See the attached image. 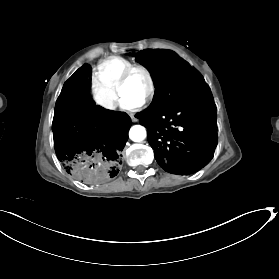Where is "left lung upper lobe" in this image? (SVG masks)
Returning a JSON list of instances; mask_svg holds the SVG:
<instances>
[{"mask_svg":"<svg viewBox=\"0 0 279 279\" xmlns=\"http://www.w3.org/2000/svg\"><path fill=\"white\" fill-rule=\"evenodd\" d=\"M135 55L137 61L150 71L155 95L147 116L156 115L206 86L202 76L175 52L170 50H143Z\"/></svg>","mask_w":279,"mask_h":279,"instance_id":"5c2ea615","label":"left lung upper lobe"}]
</instances>
